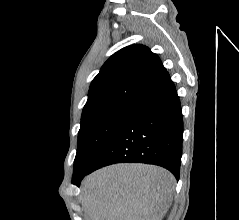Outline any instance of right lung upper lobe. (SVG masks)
<instances>
[{
  "instance_id": "1",
  "label": "right lung upper lobe",
  "mask_w": 239,
  "mask_h": 220,
  "mask_svg": "<svg viewBox=\"0 0 239 220\" xmlns=\"http://www.w3.org/2000/svg\"><path fill=\"white\" fill-rule=\"evenodd\" d=\"M160 58L136 44L114 53L93 79L82 118L119 105H132L169 78Z\"/></svg>"
}]
</instances>
